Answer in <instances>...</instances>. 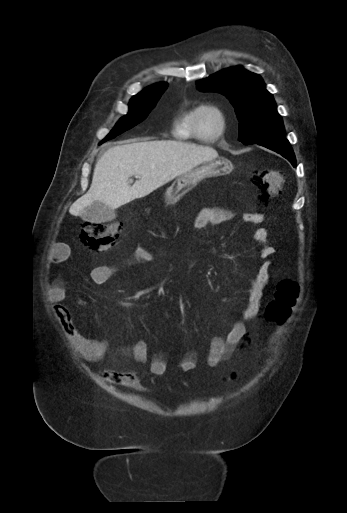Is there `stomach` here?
Masks as SVG:
<instances>
[{"mask_svg": "<svg viewBox=\"0 0 347 513\" xmlns=\"http://www.w3.org/2000/svg\"><path fill=\"white\" fill-rule=\"evenodd\" d=\"M232 168V162L226 158L221 157L204 162L200 166L177 176L172 186L169 187L166 191V203H175L180 196L190 191L203 179L225 175L229 173Z\"/></svg>", "mask_w": 347, "mask_h": 513, "instance_id": "obj_1", "label": "stomach"}]
</instances>
